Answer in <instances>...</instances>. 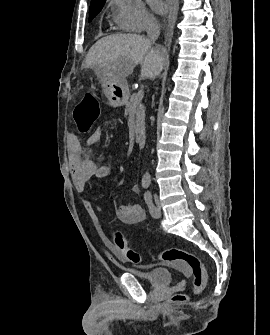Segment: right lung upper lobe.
<instances>
[{
	"label": "right lung upper lobe",
	"mask_w": 270,
	"mask_h": 335,
	"mask_svg": "<svg viewBox=\"0 0 270 335\" xmlns=\"http://www.w3.org/2000/svg\"><path fill=\"white\" fill-rule=\"evenodd\" d=\"M106 0H91V4L90 5H95V4H99V3H103Z\"/></svg>",
	"instance_id": "cb5924a9"
}]
</instances>
